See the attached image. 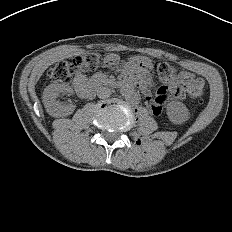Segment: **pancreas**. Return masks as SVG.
Returning a JSON list of instances; mask_svg holds the SVG:
<instances>
[{"instance_id": "obj_1", "label": "pancreas", "mask_w": 232, "mask_h": 232, "mask_svg": "<svg viewBox=\"0 0 232 232\" xmlns=\"http://www.w3.org/2000/svg\"><path fill=\"white\" fill-rule=\"evenodd\" d=\"M104 76L102 74H98L97 76L94 77V80L97 81V82H100L101 79H103Z\"/></svg>"}]
</instances>
